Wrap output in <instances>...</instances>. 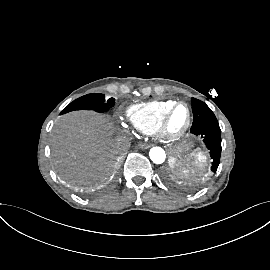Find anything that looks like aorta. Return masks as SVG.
Segmentation results:
<instances>
[{
    "mask_svg": "<svg viewBox=\"0 0 270 270\" xmlns=\"http://www.w3.org/2000/svg\"><path fill=\"white\" fill-rule=\"evenodd\" d=\"M149 157L155 164H162L165 161L166 154L161 147H153L149 151Z\"/></svg>",
    "mask_w": 270,
    "mask_h": 270,
    "instance_id": "aorta-1",
    "label": "aorta"
}]
</instances>
